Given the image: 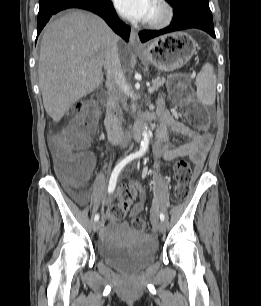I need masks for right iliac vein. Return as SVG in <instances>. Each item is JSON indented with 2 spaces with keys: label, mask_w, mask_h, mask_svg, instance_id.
I'll list each match as a JSON object with an SVG mask.
<instances>
[{
  "label": "right iliac vein",
  "mask_w": 261,
  "mask_h": 306,
  "mask_svg": "<svg viewBox=\"0 0 261 306\" xmlns=\"http://www.w3.org/2000/svg\"><path fill=\"white\" fill-rule=\"evenodd\" d=\"M92 228H93V231H94V232H97V231L99 230V228H100V222L95 221V222L93 223Z\"/></svg>",
  "instance_id": "63e3f726"
}]
</instances>
